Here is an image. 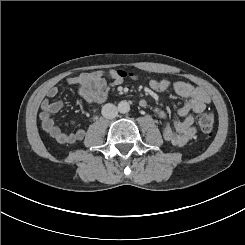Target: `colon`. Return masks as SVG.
Wrapping results in <instances>:
<instances>
[{"instance_id": "obj_1", "label": "colon", "mask_w": 245, "mask_h": 245, "mask_svg": "<svg viewBox=\"0 0 245 245\" xmlns=\"http://www.w3.org/2000/svg\"><path fill=\"white\" fill-rule=\"evenodd\" d=\"M117 74L123 78L130 77L135 78V74L123 70H117ZM215 123V117L212 112H204L198 117V126L201 132L210 133L213 130Z\"/></svg>"}]
</instances>
